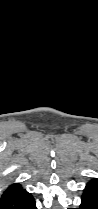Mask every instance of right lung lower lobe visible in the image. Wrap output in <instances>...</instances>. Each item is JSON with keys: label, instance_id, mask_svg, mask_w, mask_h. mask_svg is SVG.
Returning a JSON list of instances; mask_svg holds the SVG:
<instances>
[{"label": "right lung lower lobe", "instance_id": "obj_1", "mask_svg": "<svg viewBox=\"0 0 98 209\" xmlns=\"http://www.w3.org/2000/svg\"><path fill=\"white\" fill-rule=\"evenodd\" d=\"M0 209H37L33 196L22 187L0 200Z\"/></svg>", "mask_w": 98, "mask_h": 209}]
</instances>
